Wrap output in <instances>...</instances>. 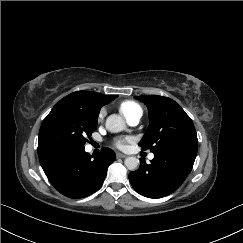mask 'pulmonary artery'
<instances>
[{
	"mask_svg": "<svg viewBox=\"0 0 243 243\" xmlns=\"http://www.w3.org/2000/svg\"><path fill=\"white\" fill-rule=\"evenodd\" d=\"M141 117H142V112H138L135 115H133L132 117L128 118L127 122L130 126H136L139 124ZM153 158H154V155L150 154L149 159H153Z\"/></svg>",
	"mask_w": 243,
	"mask_h": 243,
	"instance_id": "1",
	"label": "pulmonary artery"
}]
</instances>
